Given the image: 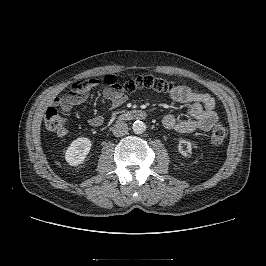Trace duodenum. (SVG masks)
<instances>
[{
  "label": "duodenum",
  "instance_id": "1",
  "mask_svg": "<svg viewBox=\"0 0 266 266\" xmlns=\"http://www.w3.org/2000/svg\"><path fill=\"white\" fill-rule=\"evenodd\" d=\"M119 119L122 120H142L147 118V113L144 110H130L122 112L119 116Z\"/></svg>",
  "mask_w": 266,
  "mask_h": 266
}]
</instances>
